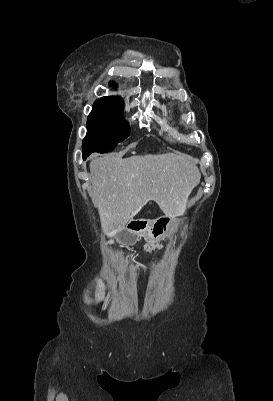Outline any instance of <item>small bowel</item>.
<instances>
[{
  "label": "small bowel",
  "mask_w": 273,
  "mask_h": 401,
  "mask_svg": "<svg viewBox=\"0 0 273 401\" xmlns=\"http://www.w3.org/2000/svg\"><path fill=\"white\" fill-rule=\"evenodd\" d=\"M134 268L137 270V274L135 277L136 280H144V279H147L148 277H150V275L147 274L146 266L141 265V266H136ZM96 285L99 289L109 291V295H108L109 299L112 297L111 287L108 284H106L99 275L96 276ZM105 308H106V306H105Z\"/></svg>",
  "instance_id": "small-bowel-1"
}]
</instances>
